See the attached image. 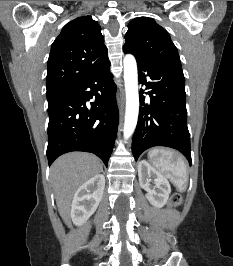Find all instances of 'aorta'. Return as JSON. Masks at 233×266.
Instances as JSON below:
<instances>
[{
    "label": "aorta",
    "instance_id": "aorta-1",
    "mask_svg": "<svg viewBox=\"0 0 233 266\" xmlns=\"http://www.w3.org/2000/svg\"><path fill=\"white\" fill-rule=\"evenodd\" d=\"M126 109L123 134L127 140L134 133L139 114L138 72L135 57L126 54L123 59Z\"/></svg>",
    "mask_w": 233,
    "mask_h": 266
}]
</instances>
